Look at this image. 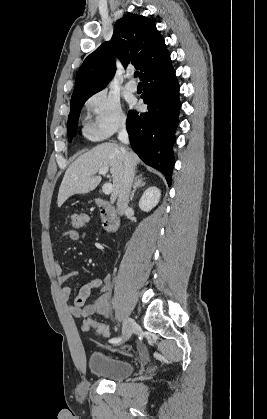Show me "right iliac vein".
Wrapping results in <instances>:
<instances>
[{
	"label": "right iliac vein",
	"mask_w": 267,
	"mask_h": 419,
	"mask_svg": "<svg viewBox=\"0 0 267 419\" xmlns=\"http://www.w3.org/2000/svg\"><path fill=\"white\" fill-rule=\"evenodd\" d=\"M134 326H135L134 321L129 317H125L124 322H123V332H122L121 342H125L130 338L133 332Z\"/></svg>",
	"instance_id": "right-iliac-vein-1"
}]
</instances>
